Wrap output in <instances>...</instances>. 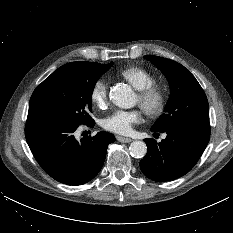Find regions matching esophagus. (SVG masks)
Listing matches in <instances>:
<instances>
[{"label": "esophagus", "instance_id": "1", "mask_svg": "<svg viewBox=\"0 0 233 233\" xmlns=\"http://www.w3.org/2000/svg\"><path fill=\"white\" fill-rule=\"evenodd\" d=\"M117 140L122 143H130L133 141L131 138L122 137V136H117Z\"/></svg>", "mask_w": 233, "mask_h": 233}]
</instances>
